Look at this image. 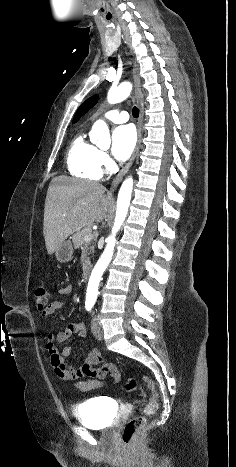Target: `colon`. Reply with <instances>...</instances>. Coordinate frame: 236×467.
I'll return each instance as SVG.
<instances>
[{"mask_svg":"<svg viewBox=\"0 0 236 467\" xmlns=\"http://www.w3.org/2000/svg\"><path fill=\"white\" fill-rule=\"evenodd\" d=\"M36 303L39 309H44L50 301V292L45 286H38L34 292ZM143 381L146 387L151 391L149 403L143 408V415L130 420L122 431V441L124 444L129 445L134 442L136 434L141 430L145 424V415H151L156 411L158 403V394L155 390L153 381L144 376ZM137 388V381L134 378H128L125 382V390L132 392Z\"/></svg>","mask_w":236,"mask_h":467,"instance_id":"1","label":"colon"}]
</instances>
